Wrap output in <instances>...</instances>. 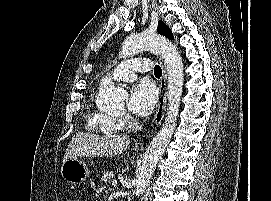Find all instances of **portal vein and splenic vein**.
<instances>
[{
  "label": "portal vein and splenic vein",
  "mask_w": 271,
  "mask_h": 201,
  "mask_svg": "<svg viewBox=\"0 0 271 201\" xmlns=\"http://www.w3.org/2000/svg\"><path fill=\"white\" fill-rule=\"evenodd\" d=\"M117 184V180H113L112 185L115 186Z\"/></svg>",
  "instance_id": "1"
}]
</instances>
